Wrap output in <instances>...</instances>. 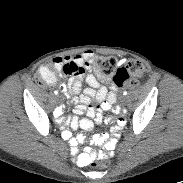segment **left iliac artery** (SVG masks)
<instances>
[{"label":"left iliac artery","instance_id":"44dca946","mask_svg":"<svg viewBox=\"0 0 183 183\" xmlns=\"http://www.w3.org/2000/svg\"><path fill=\"white\" fill-rule=\"evenodd\" d=\"M123 95H127V91H124V92H123Z\"/></svg>","mask_w":183,"mask_h":183}]
</instances>
